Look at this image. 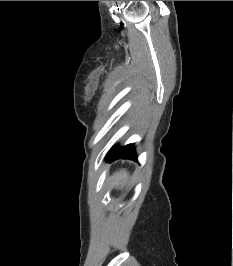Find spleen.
<instances>
[{
	"instance_id": "1",
	"label": "spleen",
	"mask_w": 233,
	"mask_h": 266,
	"mask_svg": "<svg viewBox=\"0 0 233 266\" xmlns=\"http://www.w3.org/2000/svg\"><path fill=\"white\" fill-rule=\"evenodd\" d=\"M119 179H120V181L119 182H115L114 183V186H119V185H121V186H123L126 182H127V180H128V175H127V173L126 172H123L122 174H121V176L119 177Z\"/></svg>"
}]
</instances>
